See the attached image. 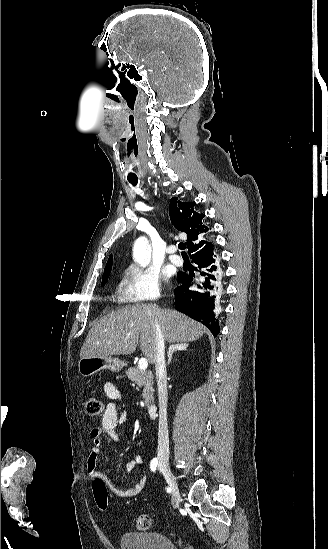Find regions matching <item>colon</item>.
<instances>
[{
  "mask_svg": "<svg viewBox=\"0 0 328 549\" xmlns=\"http://www.w3.org/2000/svg\"><path fill=\"white\" fill-rule=\"evenodd\" d=\"M85 410L90 416H97L103 410L102 402L93 396H89L85 399ZM94 498L97 507L100 511L104 512L108 507V488L105 480L101 478L94 479L92 484ZM151 519L147 514L140 515L136 520V528L144 531L150 528Z\"/></svg>",
  "mask_w": 328,
  "mask_h": 549,
  "instance_id": "5ec220e1",
  "label": "colon"
}]
</instances>
